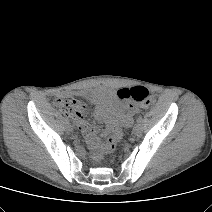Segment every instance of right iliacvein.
<instances>
[{"label":"right iliac vein","mask_w":212,"mask_h":212,"mask_svg":"<svg viewBox=\"0 0 212 212\" xmlns=\"http://www.w3.org/2000/svg\"><path fill=\"white\" fill-rule=\"evenodd\" d=\"M66 129L68 132H71L72 131V126L68 123L67 126H66Z\"/></svg>","instance_id":"obj_1"}]
</instances>
